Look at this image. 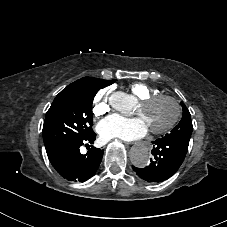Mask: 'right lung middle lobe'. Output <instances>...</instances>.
Segmentation results:
<instances>
[{
	"instance_id": "1",
	"label": "right lung middle lobe",
	"mask_w": 227,
	"mask_h": 227,
	"mask_svg": "<svg viewBox=\"0 0 227 227\" xmlns=\"http://www.w3.org/2000/svg\"><path fill=\"white\" fill-rule=\"evenodd\" d=\"M115 81L83 77L63 89L46 113L42 131L46 150L91 132L94 96Z\"/></svg>"
}]
</instances>
